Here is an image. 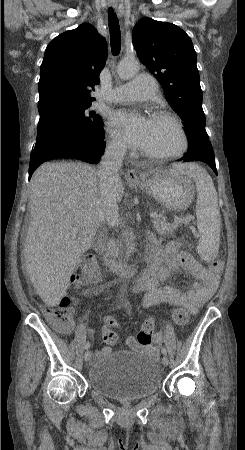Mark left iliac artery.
Returning <instances> with one entry per match:
<instances>
[{
  "instance_id": "44dca946",
  "label": "left iliac artery",
  "mask_w": 245,
  "mask_h": 450,
  "mask_svg": "<svg viewBox=\"0 0 245 450\" xmlns=\"http://www.w3.org/2000/svg\"><path fill=\"white\" fill-rule=\"evenodd\" d=\"M162 353H163L164 355L167 354V351H166L165 347L162 348Z\"/></svg>"
}]
</instances>
